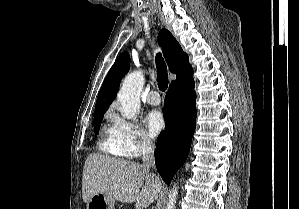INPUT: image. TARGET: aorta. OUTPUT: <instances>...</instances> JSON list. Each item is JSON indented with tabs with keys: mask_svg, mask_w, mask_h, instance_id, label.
I'll use <instances>...</instances> for the list:
<instances>
[{
	"mask_svg": "<svg viewBox=\"0 0 299 209\" xmlns=\"http://www.w3.org/2000/svg\"><path fill=\"white\" fill-rule=\"evenodd\" d=\"M144 85V75L141 71H135L127 75L123 81L117 99L122 106V116L135 120L140 109V94ZM178 191L176 186L168 194L166 209H175Z\"/></svg>",
	"mask_w": 299,
	"mask_h": 209,
	"instance_id": "762f6f07",
	"label": "aorta"
}]
</instances>
